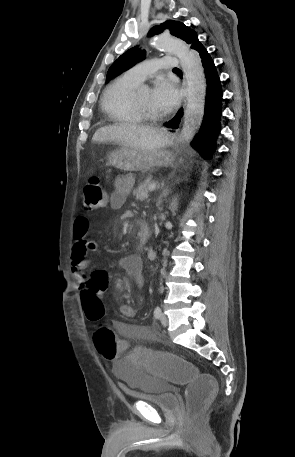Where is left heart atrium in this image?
<instances>
[{"label":"left heart atrium","mask_w":295,"mask_h":457,"mask_svg":"<svg viewBox=\"0 0 295 457\" xmlns=\"http://www.w3.org/2000/svg\"><path fill=\"white\" fill-rule=\"evenodd\" d=\"M151 96L154 106L161 112L171 110L179 101V93L175 85L164 78L156 81Z\"/></svg>","instance_id":"obj_1"}]
</instances>
